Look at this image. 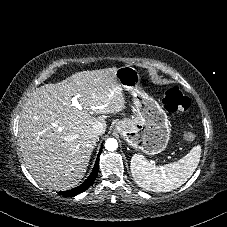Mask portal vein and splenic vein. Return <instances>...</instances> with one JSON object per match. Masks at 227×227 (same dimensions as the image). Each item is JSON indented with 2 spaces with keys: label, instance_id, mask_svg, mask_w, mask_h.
<instances>
[{
  "label": "portal vein and splenic vein",
  "instance_id": "1",
  "mask_svg": "<svg viewBox=\"0 0 227 227\" xmlns=\"http://www.w3.org/2000/svg\"><path fill=\"white\" fill-rule=\"evenodd\" d=\"M71 102H72V105H73L74 107H76L77 109H82L80 103H79L78 100H77V97H73V98L71 99Z\"/></svg>",
  "mask_w": 227,
  "mask_h": 227
}]
</instances>
